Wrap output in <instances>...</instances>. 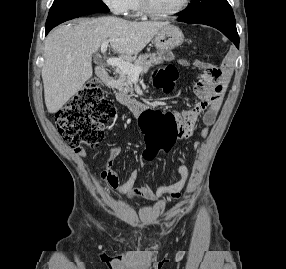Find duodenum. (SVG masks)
<instances>
[{
	"label": "duodenum",
	"instance_id": "duodenum-1",
	"mask_svg": "<svg viewBox=\"0 0 286 269\" xmlns=\"http://www.w3.org/2000/svg\"><path fill=\"white\" fill-rule=\"evenodd\" d=\"M97 73L106 85H110L112 83L109 72L103 66L98 67ZM129 106L134 113H140L144 109L143 105L136 101H130Z\"/></svg>",
	"mask_w": 286,
	"mask_h": 269
}]
</instances>
